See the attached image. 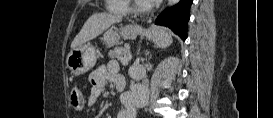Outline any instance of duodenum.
<instances>
[{
  "instance_id": "obj_1",
  "label": "duodenum",
  "mask_w": 273,
  "mask_h": 118,
  "mask_svg": "<svg viewBox=\"0 0 273 118\" xmlns=\"http://www.w3.org/2000/svg\"><path fill=\"white\" fill-rule=\"evenodd\" d=\"M115 86L119 91H122L125 88V82L124 81H115Z\"/></svg>"
}]
</instances>
